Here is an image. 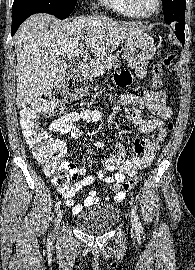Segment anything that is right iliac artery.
<instances>
[{
  "label": "right iliac artery",
  "instance_id": "1",
  "mask_svg": "<svg viewBox=\"0 0 195 270\" xmlns=\"http://www.w3.org/2000/svg\"><path fill=\"white\" fill-rule=\"evenodd\" d=\"M60 205H61V202L60 201L56 202V204H55V211H57L60 208Z\"/></svg>",
  "mask_w": 195,
  "mask_h": 270
}]
</instances>
